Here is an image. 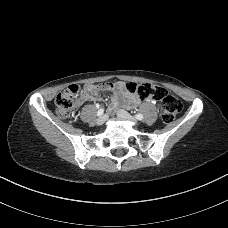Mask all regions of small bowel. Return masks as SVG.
<instances>
[{"label": "small bowel", "mask_w": 228, "mask_h": 228, "mask_svg": "<svg viewBox=\"0 0 228 228\" xmlns=\"http://www.w3.org/2000/svg\"><path fill=\"white\" fill-rule=\"evenodd\" d=\"M99 91L112 92V98L109 105L110 112H114V110L121 105H126L127 107L131 108L140 103V99L136 95L129 94L127 92L125 83L121 81L86 85L79 98V103L97 100ZM145 100L152 102L154 99L148 98Z\"/></svg>", "instance_id": "c3829d8e"}]
</instances>
